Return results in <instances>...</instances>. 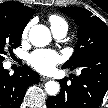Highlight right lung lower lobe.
Wrapping results in <instances>:
<instances>
[{"label": "right lung lower lobe", "instance_id": "98d812e1", "mask_svg": "<svg viewBox=\"0 0 108 108\" xmlns=\"http://www.w3.org/2000/svg\"><path fill=\"white\" fill-rule=\"evenodd\" d=\"M38 82L39 74L27 65L9 75L0 61V108H19L27 88Z\"/></svg>", "mask_w": 108, "mask_h": 108}]
</instances>
